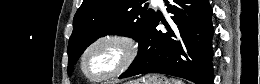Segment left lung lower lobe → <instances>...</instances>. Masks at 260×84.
Here are the masks:
<instances>
[{"label":"left lung lower lobe","mask_w":260,"mask_h":84,"mask_svg":"<svg viewBox=\"0 0 260 84\" xmlns=\"http://www.w3.org/2000/svg\"><path fill=\"white\" fill-rule=\"evenodd\" d=\"M172 14L166 31H157L155 16L141 54L119 78L142 73H162L196 84H212V8L208 0H165Z\"/></svg>","instance_id":"0a47b994"}]
</instances>
